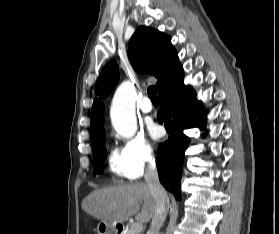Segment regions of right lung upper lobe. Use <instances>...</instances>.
<instances>
[{
  "label": "right lung upper lobe",
  "instance_id": "cb5924a9",
  "mask_svg": "<svg viewBox=\"0 0 279 234\" xmlns=\"http://www.w3.org/2000/svg\"><path fill=\"white\" fill-rule=\"evenodd\" d=\"M128 57L135 70L150 73L158 78V92L168 85L183 69L178 61V54L167 36L158 30L140 26L128 45ZM119 80L118 66L114 60L102 70L95 87V98L91 110V142L105 136L104 104L106 98Z\"/></svg>",
  "mask_w": 279,
  "mask_h": 234
}]
</instances>
